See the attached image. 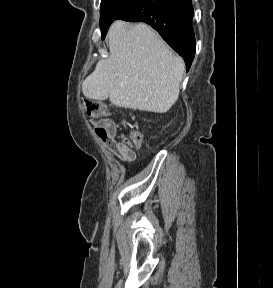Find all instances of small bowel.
Returning <instances> with one entry per match:
<instances>
[{
	"mask_svg": "<svg viewBox=\"0 0 273 288\" xmlns=\"http://www.w3.org/2000/svg\"><path fill=\"white\" fill-rule=\"evenodd\" d=\"M100 126L105 130L106 136L101 138L105 146L119 159L125 162L133 161L136 158L134 150L116 141L117 128L110 120H104Z\"/></svg>",
	"mask_w": 273,
	"mask_h": 288,
	"instance_id": "obj_1",
	"label": "small bowel"
}]
</instances>
